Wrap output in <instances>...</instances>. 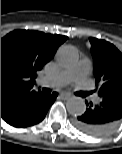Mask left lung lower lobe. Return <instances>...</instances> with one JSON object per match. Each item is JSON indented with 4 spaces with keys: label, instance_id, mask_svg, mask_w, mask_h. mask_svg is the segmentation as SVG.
<instances>
[{
    "label": "left lung lower lobe",
    "instance_id": "obj_1",
    "mask_svg": "<svg viewBox=\"0 0 122 154\" xmlns=\"http://www.w3.org/2000/svg\"><path fill=\"white\" fill-rule=\"evenodd\" d=\"M88 106V102L86 101ZM122 120V92L101 97L98 105L90 106L74 120V126L93 136H99L111 131Z\"/></svg>",
    "mask_w": 122,
    "mask_h": 154
}]
</instances>
